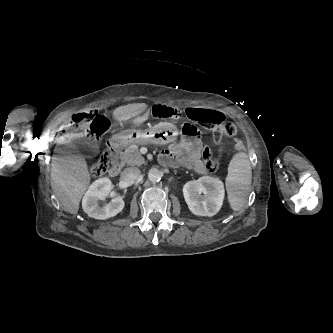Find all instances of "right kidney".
<instances>
[{
	"mask_svg": "<svg viewBox=\"0 0 333 333\" xmlns=\"http://www.w3.org/2000/svg\"><path fill=\"white\" fill-rule=\"evenodd\" d=\"M112 190L111 180L107 177L94 181L86 191L82 199V208L89 217L95 219H108L114 217L124 208V201L120 195H116L106 205L100 206L98 201L105 199Z\"/></svg>",
	"mask_w": 333,
	"mask_h": 333,
	"instance_id": "obj_1",
	"label": "right kidney"
}]
</instances>
